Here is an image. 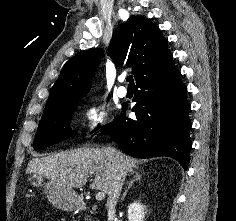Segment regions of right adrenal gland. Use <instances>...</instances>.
<instances>
[{
    "mask_svg": "<svg viewBox=\"0 0 236 221\" xmlns=\"http://www.w3.org/2000/svg\"><path fill=\"white\" fill-rule=\"evenodd\" d=\"M132 175H133V179L128 183V186L125 188V191L121 197V202L125 199V196L128 190L133 186V184L137 181H140L142 178V174H140V172H137V171L132 173Z\"/></svg>",
    "mask_w": 236,
    "mask_h": 221,
    "instance_id": "right-adrenal-gland-1",
    "label": "right adrenal gland"
}]
</instances>
